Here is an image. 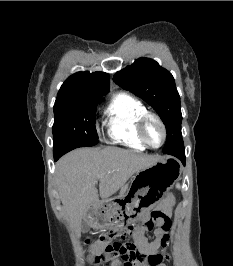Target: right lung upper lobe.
<instances>
[{
	"label": "right lung upper lobe",
	"instance_id": "1",
	"mask_svg": "<svg viewBox=\"0 0 233 266\" xmlns=\"http://www.w3.org/2000/svg\"><path fill=\"white\" fill-rule=\"evenodd\" d=\"M109 92V75L104 72H77L63 83L56 101L101 97Z\"/></svg>",
	"mask_w": 233,
	"mask_h": 266
}]
</instances>
